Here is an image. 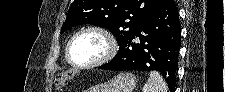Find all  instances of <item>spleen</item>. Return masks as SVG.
I'll use <instances>...</instances> for the list:
<instances>
[{
  "label": "spleen",
  "instance_id": "obj_1",
  "mask_svg": "<svg viewBox=\"0 0 225 92\" xmlns=\"http://www.w3.org/2000/svg\"><path fill=\"white\" fill-rule=\"evenodd\" d=\"M142 92H168V87L158 72L151 71L149 79L142 88Z\"/></svg>",
  "mask_w": 225,
  "mask_h": 92
}]
</instances>
